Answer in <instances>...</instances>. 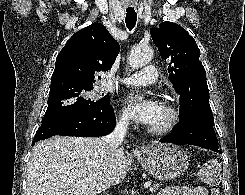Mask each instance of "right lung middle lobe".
Masks as SVG:
<instances>
[{"label": "right lung middle lobe", "instance_id": "obj_1", "mask_svg": "<svg viewBox=\"0 0 245 195\" xmlns=\"http://www.w3.org/2000/svg\"><path fill=\"white\" fill-rule=\"evenodd\" d=\"M93 86L71 87L50 93L48 98V108L42 123L53 120L62 115L84 111L93 108L99 103H109L108 95L99 99L90 98V91Z\"/></svg>", "mask_w": 245, "mask_h": 195}]
</instances>
